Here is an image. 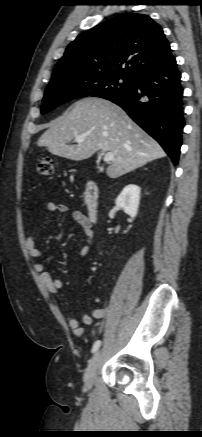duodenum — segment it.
Listing matches in <instances>:
<instances>
[{
    "instance_id": "obj_1",
    "label": "duodenum",
    "mask_w": 202,
    "mask_h": 437,
    "mask_svg": "<svg viewBox=\"0 0 202 437\" xmlns=\"http://www.w3.org/2000/svg\"><path fill=\"white\" fill-rule=\"evenodd\" d=\"M83 195L87 217L92 224H95L99 211V189L97 184L92 180L86 181Z\"/></svg>"
}]
</instances>
